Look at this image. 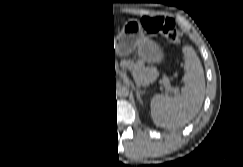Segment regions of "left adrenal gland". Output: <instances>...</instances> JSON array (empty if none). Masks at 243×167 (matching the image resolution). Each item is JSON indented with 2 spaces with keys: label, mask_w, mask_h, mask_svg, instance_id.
Here are the masks:
<instances>
[{
  "label": "left adrenal gland",
  "mask_w": 243,
  "mask_h": 167,
  "mask_svg": "<svg viewBox=\"0 0 243 167\" xmlns=\"http://www.w3.org/2000/svg\"><path fill=\"white\" fill-rule=\"evenodd\" d=\"M143 94V91H140L138 88L136 89V96L137 99L140 101V103H142V100L140 98V95Z\"/></svg>",
  "instance_id": "a2214340"
}]
</instances>
